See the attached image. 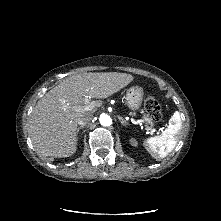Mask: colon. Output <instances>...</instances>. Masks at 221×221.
I'll return each instance as SVG.
<instances>
[{
  "label": "colon",
  "instance_id": "1",
  "mask_svg": "<svg viewBox=\"0 0 221 221\" xmlns=\"http://www.w3.org/2000/svg\"><path fill=\"white\" fill-rule=\"evenodd\" d=\"M144 108L154 122H159L162 119L161 105L154 97L146 98Z\"/></svg>",
  "mask_w": 221,
  "mask_h": 221
}]
</instances>
